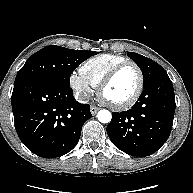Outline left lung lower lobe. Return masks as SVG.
I'll use <instances>...</instances> for the list:
<instances>
[{
  "mask_svg": "<svg viewBox=\"0 0 193 193\" xmlns=\"http://www.w3.org/2000/svg\"><path fill=\"white\" fill-rule=\"evenodd\" d=\"M174 89L167 73L144 85L138 101L123 112H113L107 133L121 151L145 157L158 151L168 139L175 112Z\"/></svg>",
  "mask_w": 193,
  "mask_h": 193,
  "instance_id": "1",
  "label": "left lung lower lobe"
}]
</instances>
